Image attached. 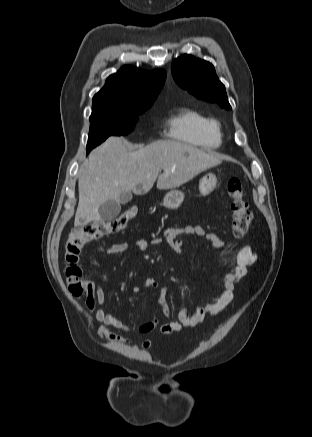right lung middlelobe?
Wrapping results in <instances>:
<instances>
[{
	"mask_svg": "<svg viewBox=\"0 0 312 437\" xmlns=\"http://www.w3.org/2000/svg\"><path fill=\"white\" fill-rule=\"evenodd\" d=\"M141 114L92 113L87 152L100 145L109 136L126 135L131 132L135 127L134 123L137 121V117Z\"/></svg>",
	"mask_w": 312,
	"mask_h": 437,
	"instance_id": "1",
	"label": "right lung middle lobe"
}]
</instances>
